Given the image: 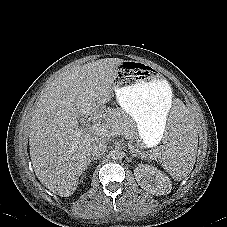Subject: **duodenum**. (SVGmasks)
<instances>
[{
	"instance_id": "1",
	"label": "duodenum",
	"mask_w": 227,
	"mask_h": 227,
	"mask_svg": "<svg viewBox=\"0 0 227 227\" xmlns=\"http://www.w3.org/2000/svg\"><path fill=\"white\" fill-rule=\"evenodd\" d=\"M102 117H103V113L100 111H97V112L93 113L92 120L97 122V121H100L102 119Z\"/></svg>"
}]
</instances>
